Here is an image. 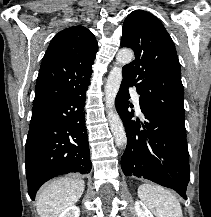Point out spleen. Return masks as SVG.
<instances>
[{
	"instance_id": "1",
	"label": "spleen",
	"mask_w": 211,
	"mask_h": 217,
	"mask_svg": "<svg viewBox=\"0 0 211 217\" xmlns=\"http://www.w3.org/2000/svg\"><path fill=\"white\" fill-rule=\"evenodd\" d=\"M138 196L156 217H183L176 196L161 186L143 184L138 188Z\"/></svg>"
}]
</instances>
